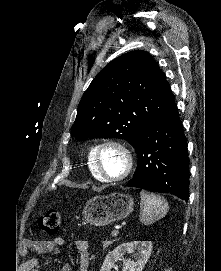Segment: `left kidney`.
Masks as SVG:
<instances>
[{
    "instance_id": "5707ae66",
    "label": "left kidney",
    "mask_w": 221,
    "mask_h": 271,
    "mask_svg": "<svg viewBox=\"0 0 221 271\" xmlns=\"http://www.w3.org/2000/svg\"><path fill=\"white\" fill-rule=\"evenodd\" d=\"M152 241H127L117 245L113 251H109L103 261L100 271H111L112 267L117 269L116 261L122 259L124 253H132L134 259L124 261L123 271H142L152 251Z\"/></svg>"
}]
</instances>
